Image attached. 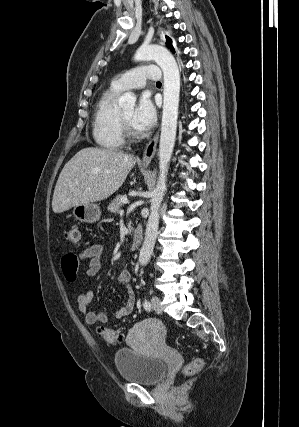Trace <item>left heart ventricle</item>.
<instances>
[{
  "instance_id": "left-heart-ventricle-1",
  "label": "left heart ventricle",
  "mask_w": 299,
  "mask_h": 427,
  "mask_svg": "<svg viewBox=\"0 0 299 427\" xmlns=\"http://www.w3.org/2000/svg\"><path fill=\"white\" fill-rule=\"evenodd\" d=\"M121 114L131 124V119H132V115H133V109L123 110V111H121Z\"/></svg>"
}]
</instances>
